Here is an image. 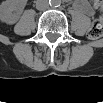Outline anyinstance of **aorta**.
I'll return each instance as SVG.
<instances>
[{
    "mask_svg": "<svg viewBox=\"0 0 103 103\" xmlns=\"http://www.w3.org/2000/svg\"><path fill=\"white\" fill-rule=\"evenodd\" d=\"M52 5H53V6H57V5H58V2H57V1H54V2H52Z\"/></svg>",
    "mask_w": 103,
    "mask_h": 103,
    "instance_id": "obj_1",
    "label": "aorta"
}]
</instances>
